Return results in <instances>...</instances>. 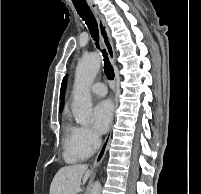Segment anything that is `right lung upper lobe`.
Listing matches in <instances>:
<instances>
[{
	"instance_id": "1",
	"label": "right lung upper lobe",
	"mask_w": 201,
	"mask_h": 194,
	"mask_svg": "<svg viewBox=\"0 0 201 194\" xmlns=\"http://www.w3.org/2000/svg\"><path fill=\"white\" fill-rule=\"evenodd\" d=\"M61 97H63V91L60 94ZM64 106V100L61 101V105H60V111L63 109Z\"/></svg>"
}]
</instances>
